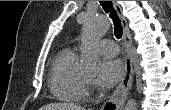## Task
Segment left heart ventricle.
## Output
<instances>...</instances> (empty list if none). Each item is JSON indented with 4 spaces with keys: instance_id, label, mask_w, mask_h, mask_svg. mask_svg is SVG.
<instances>
[{
    "instance_id": "1",
    "label": "left heart ventricle",
    "mask_w": 171,
    "mask_h": 110,
    "mask_svg": "<svg viewBox=\"0 0 171 110\" xmlns=\"http://www.w3.org/2000/svg\"><path fill=\"white\" fill-rule=\"evenodd\" d=\"M87 81H92L93 80V77H90V76H85L84 77Z\"/></svg>"
}]
</instances>
